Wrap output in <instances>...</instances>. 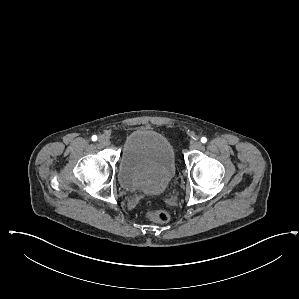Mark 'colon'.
I'll return each mask as SVG.
<instances>
[{"instance_id": "colon-1", "label": "colon", "mask_w": 299, "mask_h": 299, "mask_svg": "<svg viewBox=\"0 0 299 299\" xmlns=\"http://www.w3.org/2000/svg\"><path fill=\"white\" fill-rule=\"evenodd\" d=\"M146 215L148 219L159 224H166L170 220L169 214L164 210H151Z\"/></svg>"}]
</instances>
